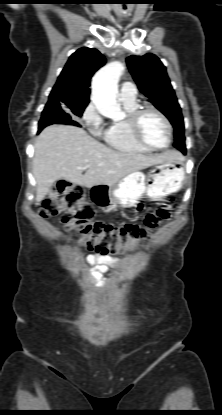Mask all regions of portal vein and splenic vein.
I'll return each instance as SVG.
<instances>
[{
	"mask_svg": "<svg viewBox=\"0 0 222 415\" xmlns=\"http://www.w3.org/2000/svg\"><path fill=\"white\" fill-rule=\"evenodd\" d=\"M90 166H91V165H86V166L82 167L81 169H82V170H85V169H88Z\"/></svg>",
	"mask_w": 222,
	"mask_h": 415,
	"instance_id": "18ae733b",
	"label": "portal vein and splenic vein"
}]
</instances>
